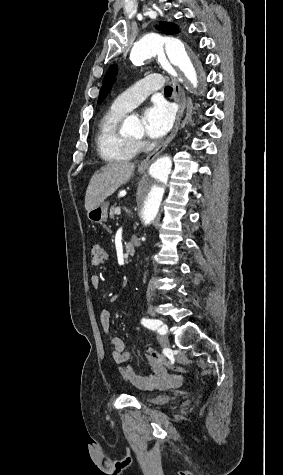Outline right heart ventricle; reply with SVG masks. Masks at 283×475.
<instances>
[{
    "mask_svg": "<svg viewBox=\"0 0 283 475\" xmlns=\"http://www.w3.org/2000/svg\"><path fill=\"white\" fill-rule=\"evenodd\" d=\"M126 112L111 105L98 121L96 145L106 162L128 161L137 153L136 145L120 129Z\"/></svg>",
    "mask_w": 283,
    "mask_h": 475,
    "instance_id": "right-heart-ventricle-1",
    "label": "right heart ventricle"
}]
</instances>
